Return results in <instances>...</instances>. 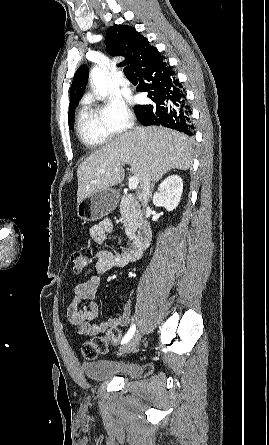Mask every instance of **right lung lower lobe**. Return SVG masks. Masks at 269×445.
<instances>
[{
    "label": "right lung lower lobe",
    "instance_id": "obj_1",
    "mask_svg": "<svg viewBox=\"0 0 269 445\" xmlns=\"http://www.w3.org/2000/svg\"><path fill=\"white\" fill-rule=\"evenodd\" d=\"M137 91L148 92L151 104L136 105V117L143 125H162L187 135L194 134L192 112L187 104L186 93L175 77L174 71L159 56L142 66Z\"/></svg>",
    "mask_w": 269,
    "mask_h": 445
}]
</instances>
